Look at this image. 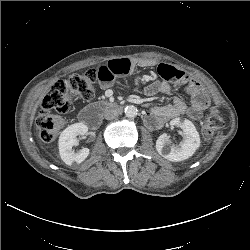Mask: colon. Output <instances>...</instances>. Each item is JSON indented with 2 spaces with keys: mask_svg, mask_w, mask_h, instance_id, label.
Returning a JSON list of instances; mask_svg holds the SVG:
<instances>
[{
  "mask_svg": "<svg viewBox=\"0 0 250 250\" xmlns=\"http://www.w3.org/2000/svg\"><path fill=\"white\" fill-rule=\"evenodd\" d=\"M98 73L94 69L75 74L67 79L55 82L41 102V110L36 117V126L40 137L45 142L53 141L65 125V120L52 111L66 113L71 108L72 99L81 97L89 100L95 96ZM224 125L223 119L216 108L201 125V133L205 139H210Z\"/></svg>",
  "mask_w": 250,
  "mask_h": 250,
  "instance_id": "5ec220e1",
  "label": "colon"
}]
</instances>
